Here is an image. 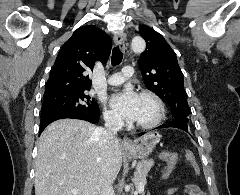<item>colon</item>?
<instances>
[{
  "label": "colon",
  "mask_w": 240,
  "mask_h": 195,
  "mask_svg": "<svg viewBox=\"0 0 240 195\" xmlns=\"http://www.w3.org/2000/svg\"><path fill=\"white\" fill-rule=\"evenodd\" d=\"M168 154V155H167ZM177 159V152L176 151H166L162 152V163L165 166V169L168 170V173L173 172V160ZM186 160L190 162V167L193 168V172L197 173L198 172V162L195 161V158L193 157L192 154H187L186 155ZM196 195H204L203 192H199L198 189L195 190Z\"/></svg>",
  "instance_id": "obj_1"
}]
</instances>
